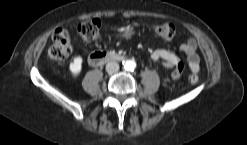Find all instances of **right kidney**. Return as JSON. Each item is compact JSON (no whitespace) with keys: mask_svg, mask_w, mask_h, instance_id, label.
<instances>
[{"mask_svg":"<svg viewBox=\"0 0 247 145\" xmlns=\"http://www.w3.org/2000/svg\"><path fill=\"white\" fill-rule=\"evenodd\" d=\"M82 62H83L82 57L77 56L70 63L69 70H70L71 74L73 75V77H76L80 74V72L82 70Z\"/></svg>","mask_w":247,"mask_h":145,"instance_id":"right-kidney-1","label":"right kidney"}]
</instances>
